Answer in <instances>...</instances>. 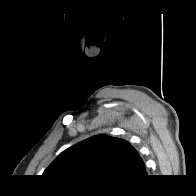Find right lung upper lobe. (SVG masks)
<instances>
[{
  "instance_id": "obj_1",
  "label": "right lung upper lobe",
  "mask_w": 196,
  "mask_h": 196,
  "mask_svg": "<svg viewBox=\"0 0 196 196\" xmlns=\"http://www.w3.org/2000/svg\"><path fill=\"white\" fill-rule=\"evenodd\" d=\"M146 175L144 162L130 143L97 135L63 151L42 176L56 182L117 186L137 182Z\"/></svg>"
}]
</instances>
